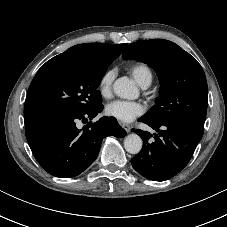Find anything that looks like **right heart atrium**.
Wrapping results in <instances>:
<instances>
[{
    "instance_id": "obj_1",
    "label": "right heart atrium",
    "mask_w": 227,
    "mask_h": 227,
    "mask_svg": "<svg viewBox=\"0 0 227 227\" xmlns=\"http://www.w3.org/2000/svg\"><path fill=\"white\" fill-rule=\"evenodd\" d=\"M114 78L115 71L113 69H108L101 75L98 82V91L102 97L110 96Z\"/></svg>"
}]
</instances>
